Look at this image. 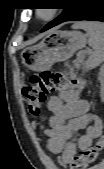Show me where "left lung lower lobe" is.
Segmentation results:
<instances>
[{
	"mask_svg": "<svg viewBox=\"0 0 104 169\" xmlns=\"http://www.w3.org/2000/svg\"><path fill=\"white\" fill-rule=\"evenodd\" d=\"M79 20H91V21L104 22L103 1L79 0L78 5L74 10V12L70 16H68L63 22L79 21Z\"/></svg>",
	"mask_w": 104,
	"mask_h": 169,
	"instance_id": "0a47b994",
	"label": "left lung lower lobe"
}]
</instances>
